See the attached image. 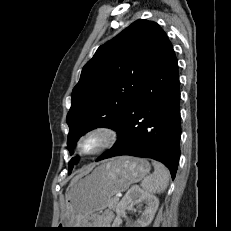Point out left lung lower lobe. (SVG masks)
Returning <instances> with one entry per match:
<instances>
[{"label":"left lung lower lobe","instance_id":"1","mask_svg":"<svg viewBox=\"0 0 231 231\" xmlns=\"http://www.w3.org/2000/svg\"><path fill=\"white\" fill-rule=\"evenodd\" d=\"M115 130L117 142L96 161L120 155L152 158L175 178L180 157V88L177 58L168 37Z\"/></svg>","mask_w":231,"mask_h":231}]
</instances>
